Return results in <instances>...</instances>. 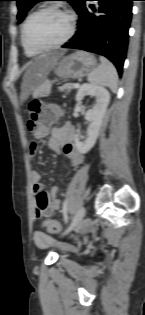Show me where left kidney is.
<instances>
[{"label": "left kidney", "instance_id": "obj_1", "mask_svg": "<svg viewBox=\"0 0 145 315\" xmlns=\"http://www.w3.org/2000/svg\"><path fill=\"white\" fill-rule=\"evenodd\" d=\"M86 95H90L95 97L96 103L85 114V119L89 123L87 128V138L85 141H80L78 136H75V146L77 150L85 154L91 150V148L95 145L97 137L99 135V130L102 125V120L107 110V106L110 101L109 92L100 86L91 85V84H83L76 95V101L81 103L83 98Z\"/></svg>", "mask_w": 145, "mask_h": 315}]
</instances>
